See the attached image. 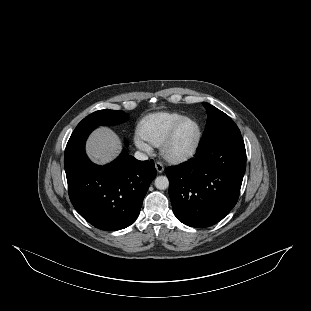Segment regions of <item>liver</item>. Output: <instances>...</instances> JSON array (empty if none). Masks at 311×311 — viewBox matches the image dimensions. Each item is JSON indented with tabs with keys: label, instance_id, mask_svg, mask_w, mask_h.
Instances as JSON below:
<instances>
[{
	"label": "liver",
	"instance_id": "1",
	"mask_svg": "<svg viewBox=\"0 0 311 311\" xmlns=\"http://www.w3.org/2000/svg\"><path fill=\"white\" fill-rule=\"evenodd\" d=\"M121 148L117 136L107 128L97 131L90 139L88 149L91 157L105 163L113 158Z\"/></svg>",
	"mask_w": 311,
	"mask_h": 311
}]
</instances>
